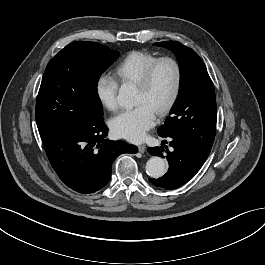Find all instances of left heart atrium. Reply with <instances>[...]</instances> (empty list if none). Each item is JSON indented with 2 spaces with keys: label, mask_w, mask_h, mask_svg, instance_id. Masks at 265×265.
Wrapping results in <instances>:
<instances>
[{
  "label": "left heart atrium",
  "mask_w": 265,
  "mask_h": 265,
  "mask_svg": "<svg viewBox=\"0 0 265 265\" xmlns=\"http://www.w3.org/2000/svg\"><path fill=\"white\" fill-rule=\"evenodd\" d=\"M156 122V113L147 105L139 104L125 110L110 121L112 132L131 142H141Z\"/></svg>",
  "instance_id": "left-heart-atrium-1"
}]
</instances>
